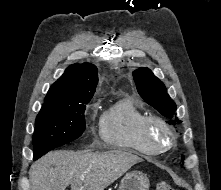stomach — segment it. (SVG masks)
Wrapping results in <instances>:
<instances>
[{
    "instance_id": "0dacf381",
    "label": "stomach",
    "mask_w": 221,
    "mask_h": 190,
    "mask_svg": "<svg viewBox=\"0 0 221 190\" xmlns=\"http://www.w3.org/2000/svg\"><path fill=\"white\" fill-rule=\"evenodd\" d=\"M149 179L140 171L127 173L119 185L118 190H149Z\"/></svg>"
}]
</instances>
